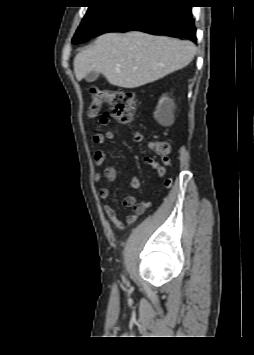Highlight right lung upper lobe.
<instances>
[{
	"mask_svg": "<svg viewBox=\"0 0 254 355\" xmlns=\"http://www.w3.org/2000/svg\"><path fill=\"white\" fill-rule=\"evenodd\" d=\"M91 1H93L94 3L103 2V1H115V2H118V3H126V2H129V1H133V0H91Z\"/></svg>",
	"mask_w": 254,
	"mask_h": 355,
	"instance_id": "obj_1",
	"label": "right lung upper lobe"
}]
</instances>
